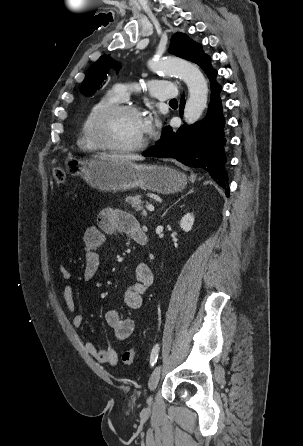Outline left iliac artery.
I'll use <instances>...</instances> for the list:
<instances>
[{
	"instance_id": "44dca946",
	"label": "left iliac artery",
	"mask_w": 303,
	"mask_h": 446,
	"mask_svg": "<svg viewBox=\"0 0 303 446\" xmlns=\"http://www.w3.org/2000/svg\"><path fill=\"white\" fill-rule=\"evenodd\" d=\"M159 349H160L159 344H156L152 349L151 356H150L151 367H154L157 362L158 355H159Z\"/></svg>"
}]
</instances>
